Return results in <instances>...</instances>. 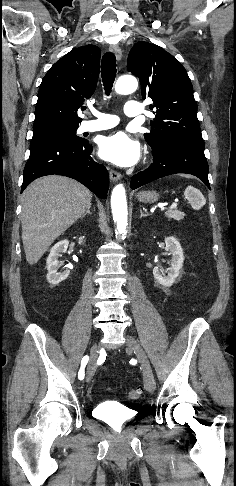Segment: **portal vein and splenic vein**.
I'll return each mask as SVG.
<instances>
[{
    "instance_id": "portal-vein-and-splenic-vein-1",
    "label": "portal vein and splenic vein",
    "mask_w": 236,
    "mask_h": 486,
    "mask_svg": "<svg viewBox=\"0 0 236 486\" xmlns=\"http://www.w3.org/2000/svg\"><path fill=\"white\" fill-rule=\"evenodd\" d=\"M177 208V203H173L170 207L169 210H174Z\"/></svg>"
}]
</instances>
